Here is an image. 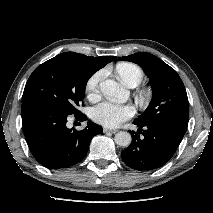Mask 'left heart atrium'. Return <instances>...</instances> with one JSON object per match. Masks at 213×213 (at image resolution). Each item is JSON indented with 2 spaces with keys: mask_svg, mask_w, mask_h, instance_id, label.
Here are the masks:
<instances>
[{
  "mask_svg": "<svg viewBox=\"0 0 213 213\" xmlns=\"http://www.w3.org/2000/svg\"><path fill=\"white\" fill-rule=\"evenodd\" d=\"M134 115V109L128 104L102 102L91 110V118L105 127L114 128Z\"/></svg>",
  "mask_w": 213,
  "mask_h": 213,
  "instance_id": "1",
  "label": "left heart atrium"
}]
</instances>
